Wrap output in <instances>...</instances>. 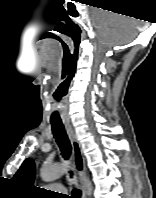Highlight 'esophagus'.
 Instances as JSON below:
<instances>
[{
	"instance_id": "1",
	"label": "esophagus",
	"mask_w": 156,
	"mask_h": 198,
	"mask_svg": "<svg viewBox=\"0 0 156 198\" xmlns=\"http://www.w3.org/2000/svg\"><path fill=\"white\" fill-rule=\"evenodd\" d=\"M66 130L68 132L73 152V159L75 164V169L79 178V187L82 191L81 198H86L85 189L83 185V177L85 175V160L82 154L80 143L74 133L72 126L69 123L65 124Z\"/></svg>"
}]
</instances>
